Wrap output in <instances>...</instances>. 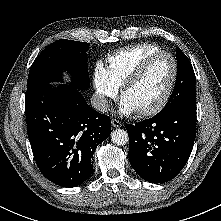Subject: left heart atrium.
<instances>
[{
	"instance_id": "obj_1",
	"label": "left heart atrium",
	"mask_w": 221,
	"mask_h": 221,
	"mask_svg": "<svg viewBox=\"0 0 221 221\" xmlns=\"http://www.w3.org/2000/svg\"><path fill=\"white\" fill-rule=\"evenodd\" d=\"M137 111L136 108L126 99L122 98L119 105V112L122 115H129Z\"/></svg>"
}]
</instances>
